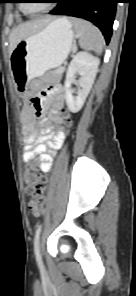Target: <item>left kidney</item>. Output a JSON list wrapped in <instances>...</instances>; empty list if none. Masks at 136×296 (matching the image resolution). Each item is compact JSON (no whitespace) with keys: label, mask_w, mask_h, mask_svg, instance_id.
<instances>
[{"label":"left kidney","mask_w":136,"mask_h":296,"mask_svg":"<svg viewBox=\"0 0 136 296\" xmlns=\"http://www.w3.org/2000/svg\"><path fill=\"white\" fill-rule=\"evenodd\" d=\"M99 66V59L87 52H78L70 62L64 83L65 99L68 109L72 113L81 110L94 83ZM79 74L80 79L76 81L75 75ZM76 83L79 86L77 96H73L71 85Z\"/></svg>","instance_id":"5707ae66"}]
</instances>
